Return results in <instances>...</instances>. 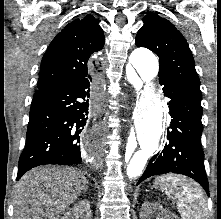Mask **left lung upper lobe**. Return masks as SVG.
Listing matches in <instances>:
<instances>
[{
  "instance_id": "5c2ea615",
  "label": "left lung upper lobe",
  "mask_w": 221,
  "mask_h": 219,
  "mask_svg": "<svg viewBox=\"0 0 221 219\" xmlns=\"http://www.w3.org/2000/svg\"><path fill=\"white\" fill-rule=\"evenodd\" d=\"M135 44L146 47L159 57V82L171 84L202 97L195 63L183 35L167 19L148 13L143 19Z\"/></svg>"
}]
</instances>
